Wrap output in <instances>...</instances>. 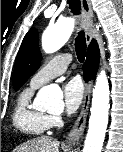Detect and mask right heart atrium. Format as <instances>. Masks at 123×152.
I'll return each mask as SVG.
<instances>
[{"instance_id": "right-heart-atrium-1", "label": "right heart atrium", "mask_w": 123, "mask_h": 152, "mask_svg": "<svg viewBox=\"0 0 123 152\" xmlns=\"http://www.w3.org/2000/svg\"><path fill=\"white\" fill-rule=\"evenodd\" d=\"M61 119L59 115H49V127H55L59 125Z\"/></svg>"}]
</instances>
